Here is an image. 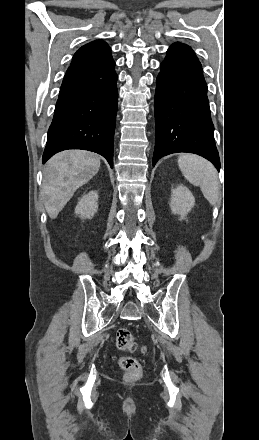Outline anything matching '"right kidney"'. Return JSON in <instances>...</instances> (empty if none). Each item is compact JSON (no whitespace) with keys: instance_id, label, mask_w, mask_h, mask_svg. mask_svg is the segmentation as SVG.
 <instances>
[{"instance_id":"ca27d5eb","label":"right kidney","mask_w":259,"mask_h":440,"mask_svg":"<svg viewBox=\"0 0 259 440\" xmlns=\"http://www.w3.org/2000/svg\"><path fill=\"white\" fill-rule=\"evenodd\" d=\"M98 192L90 191L78 202L75 213L82 219H91L98 209Z\"/></svg>"}]
</instances>
